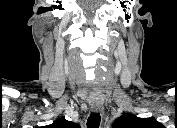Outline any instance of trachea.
Masks as SVG:
<instances>
[{
    "label": "trachea",
    "mask_w": 177,
    "mask_h": 128,
    "mask_svg": "<svg viewBox=\"0 0 177 128\" xmlns=\"http://www.w3.org/2000/svg\"><path fill=\"white\" fill-rule=\"evenodd\" d=\"M101 116L97 112H92L87 120V128H99Z\"/></svg>",
    "instance_id": "obj_1"
}]
</instances>
